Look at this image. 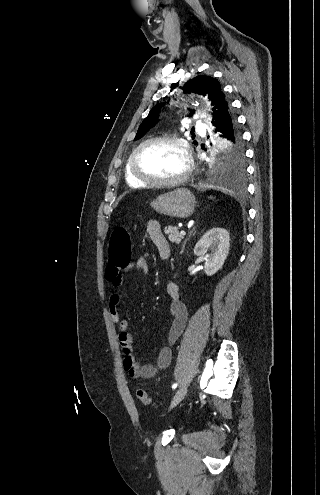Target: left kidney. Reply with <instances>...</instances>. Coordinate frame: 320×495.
<instances>
[{"instance_id":"1","label":"left kidney","mask_w":320,"mask_h":495,"mask_svg":"<svg viewBox=\"0 0 320 495\" xmlns=\"http://www.w3.org/2000/svg\"><path fill=\"white\" fill-rule=\"evenodd\" d=\"M230 237L223 228H213L206 232L194 247V254L205 260V273L211 276L218 272L229 253ZM208 251H210L208 253Z\"/></svg>"}]
</instances>
